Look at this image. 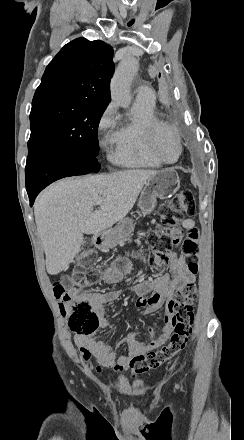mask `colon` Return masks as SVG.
Returning <instances> with one entry per match:
<instances>
[{
  "label": "colon",
  "instance_id": "1",
  "mask_svg": "<svg viewBox=\"0 0 244 440\" xmlns=\"http://www.w3.org/2000/svg\"><path fill=\"white\" fill-rule=\"evenodd\" d=\"M195 215L194 193L191 190L183 189L176 198L169 204L163 205L159 212V223L157 229L147 237L148 251L143 253L144 259L157 267H163L168 263V252L181 245V252L189 270L197 272L200 254V234L195 225H187V233L182 235L181 225L184 219ZM110 261H105V267ZM98 259L95 248L91 242L86 241L85 247L79 258V267L72 264L71 268L75 281L84 286H95L99 283ZM86 273L85 278H83ZM62 281V282H61ZM61 281L53 284L54 298L59 302L61 309L68 312L69 319H98V310H90L89 305L74 304L67 291V284L70 278L64 275ZM198 290L194 285H185L175 294L174 300L168 305L171 314L173 327L172 335L168 343L157 351H149L137 355L130 361V368L134 375H141L148 371L163 366L171 358L183 351L192 333L194 323L193 302L197 299Z\"/></svg>",
  "mask_w": 244,
  "mask_h": 440
}]
</instances>
